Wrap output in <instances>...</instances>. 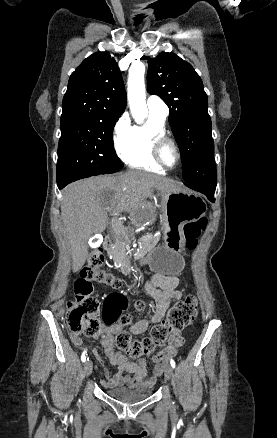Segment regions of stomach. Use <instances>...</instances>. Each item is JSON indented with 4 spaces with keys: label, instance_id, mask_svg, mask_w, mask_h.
<instances>
[{
    "label": "stomach",
    "instance_id": "0dacf381",
    "mask_svg": "<svg viewBox=\"0 0 277 438\" xmlns=\"http://www.w3.org/2000/svg\"><path fill=\"white\" fill-rule=\"evenodd\" d=\"M163 245L153 248L143 258L151 271L164 275H176L184 268L181 253L185 249V224L195 222L206 212L204 200L197 193L176 189L161 190Z\"/></svg>",
    "mask_w": 277,
    "mask_h": 438
}]
</instances>
